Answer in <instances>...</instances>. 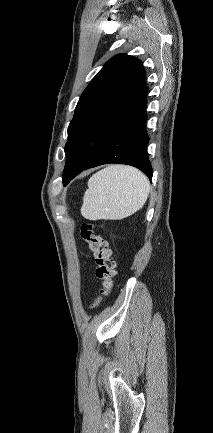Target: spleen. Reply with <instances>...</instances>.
Masks as SVG:
<instances>
[{"instance_id":"3e777b00","label":"spleen","mask_w":213,"mask_h":433,"mask_svg":"<svg viewBox=\"0 0 213 433\" xmlns=\"http://www.w3.org/2000/svg\"><path fill=\"white\" fill-rule=\"evenodd\" d=\"M150 190L147 177L138 169L111 165L88 181L81 214L89 220H120L145 204Z\"/></svg>"}]
</instances>
